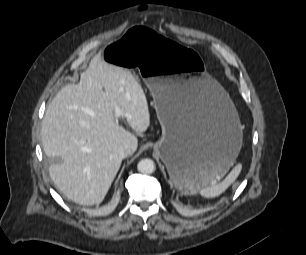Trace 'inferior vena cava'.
I'll return each instance as SVG.
<instances>
[{
    "mask_svg": "<svg viewBox=\"0 0 306 255\" xmlns=\"http://www.w3.org/2000/svg\"><path fill=\"white\" fill-rule=\"evenodd\" d=\"M119 157H121L122 159L131 155L133 153V148L131 145L129 144H124L122 146L119 147L118 151H117Z\"/></svg>",
    "mask_w": 306,
    "mask_h": 255,
    "instance_id": "inferior-vena-cava-1",
    "label": "inferior vena cava"
}]
</instances>
